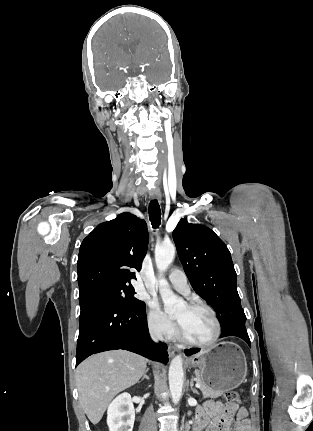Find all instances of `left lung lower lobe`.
<instances>
[{"mask_svg": "<svg viewBox=\"0 0 313 431\" xmlns=\"http://www.w3.org/2000/svg\"><path fill=\"white\" fill-rule=\"evenodd\" d=\"M227 336L239 337V338L243 339L249 346H251L247 330L245 328V325H243V324L234 325V326L229 327L226 330L222 331L220 337L222 338V337H227ZM184 352H185L186 356H190L192 354L199 352V349L198 348L186 349Z\"/></svg>", "mask_w": 313, "mask_h": 431, "instance_id": "1", "label": "left lung lower lobe"}]
</instances>
